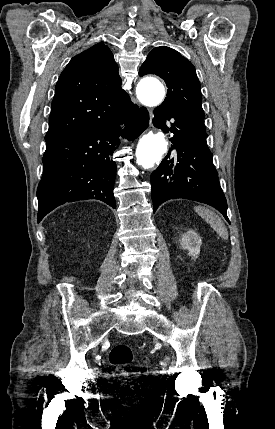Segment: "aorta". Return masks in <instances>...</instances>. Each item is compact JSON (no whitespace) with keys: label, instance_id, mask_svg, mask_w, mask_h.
<instances>
[{"label":"aorta","instance_id":"obj_1","mask_svg":"<svg viewBox=\"0 0 275 429\" xmlns=\"http://www.w3.org/2000/svg\"><path fill=\"white\" fill-rule=\"evenodd\" d=\"M137 96L146 106L159 105L165 96L163 84L155 78L142 79L137 87ZM167 141L162 132L150 131L143 135L137 145L136 156L138 164L150 168L161 161L167 151Z\"/></svg>","mask_w":275,"mask_h":429}]
</instances>
